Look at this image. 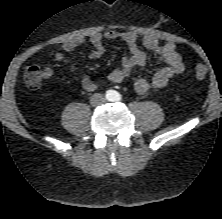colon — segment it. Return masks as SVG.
<instances>
[{"mask_svg":"<svg viewBox=\"0 0 222 219\" xmlns=\"http://www.w3.org/2000/svg\"><path fill=\"white\" fill-rule=\"evenodd\" d=\"M208 69L205 65L198 64L194 68L196 78L203 79L207 76ZM43 79V72L36 65H29L24 73V80L27 86L36 88L40 85Z\"/></svg>","mask_w":222,"mask_h":219,"instance_id":"colon-1","label":"colon"}]
</instances>
